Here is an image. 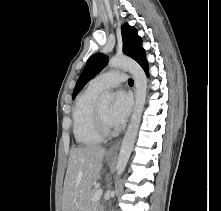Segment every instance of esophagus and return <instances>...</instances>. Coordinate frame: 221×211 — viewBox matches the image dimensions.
Segmentation results:
<instances>
[{
  "instance_id": "obj_1",
  "label": "esophagus",
  "mask_w": 221,
  "mask_h": 211,
  "mask_svg": "<svg viewBox=\"0 0 221 211\" xmlns=\"http://www.w3.org/2000/svg\"><path fill=\"white\" fill-rule=\"evenodd\" d=\"M120 142H121V141L119 140V141H117L115 144H113V145L109 148L108 153H109V154H115V153L118 151V149H119Z\"/></svg>"
}]
</instances>
